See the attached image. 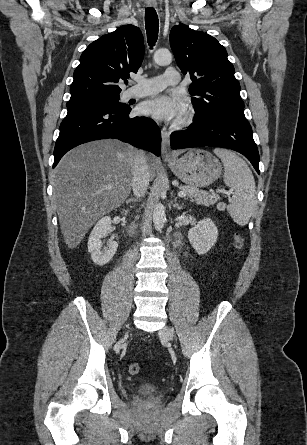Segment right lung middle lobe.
Listing matches in <instances>:
<instances>
[{"label": "right lung middle lobe", "mask_w": 307, "mask_h": 445, "mask_svg": "<svg viewBox=\"0 0 307 445\" xmlns=\"http://www.w3.org/2000/svg\"><path fill=\"white\" fill-rule=\"evenodd\" d=\"M119 99H120L119 95L92 96L79 99H70L69 102L67 103V108L70 109L76 106H84L92 104H111V105H116L118 107L127 108L128 107L127 105L119 103Z\"/></svg>", "instance_id": "right-lung-middle-lobe-1"}]
</instances>
